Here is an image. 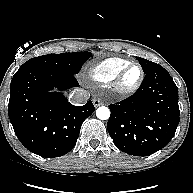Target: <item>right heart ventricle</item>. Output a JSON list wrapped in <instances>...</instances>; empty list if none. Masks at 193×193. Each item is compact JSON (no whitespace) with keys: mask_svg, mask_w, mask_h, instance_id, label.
Instances as JSON below:
<instances>
[{"mask_svg":"<svg viewBox=\"0 0 193 193\" xmlns=\"http://www.w3.org/2000/svg\"><path fill=\"white\" fill-rule=\"evenodd\" d=\"M129 63L131 62L124 58H106L92 64L88 69V76L95 83L107 84L113 81L119 71Z\"/></svg>","mask_w":193,"mask_h":193,"instance_id":"e07e8e85","label":"right heart ventricle"}]
</instances>
